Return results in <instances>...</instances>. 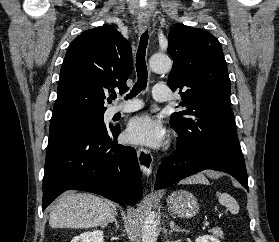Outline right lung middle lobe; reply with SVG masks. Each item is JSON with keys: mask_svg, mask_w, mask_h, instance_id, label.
Instances as JSON below:
<instances>
[{"mask_svg": "<svg viewBox=\"0 0 279 242\" xmlns=\"http://www.w3.org/2000/svg\"><path fill=\"white\" fill-rule=\"evenodd\" d=\"M103 113L75 111L52 116L48 143L76 134H93L106 128Z\"/></svg>", "mask_w": 279, "mask_h": 242, "instance_id": "obj_1", "label": "right lung middle lobe"}]
</instances>
